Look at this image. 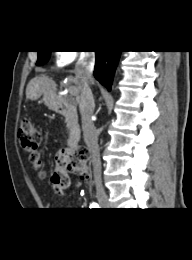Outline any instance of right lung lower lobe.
<instances>
[{
	"label": "right lung lower lobe",
	"mask_w": 192,
	"mask_h": 260,
	"mask_svg": "<svg viewBox=\"0 0 192 260\" xmlns=\"http://www.w3.org/2000/svg\"><path fill=\"white\" fill-rule=\"evenodd\" d=\"M96 63L94 76L108 90L111 89L113 76L121 51H95Z\"/></svg>",
	"instance_id": "obj_1"
}]
</instances>
